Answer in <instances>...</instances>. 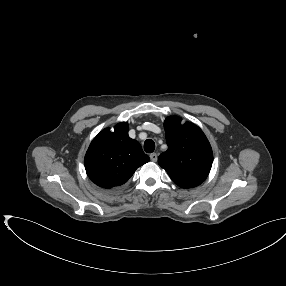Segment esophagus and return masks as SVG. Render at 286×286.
Masks as SVG:
<instances>
[{
  "label": "esophagus",
  "mask_w": 286,
  "mask_h": 286,
  "mask_svg": "<svg viewBox=\"0 0 286 286\" xmlns=\"http://www.w3.org/2000/svg\"><path fill=\"white\" fill-rule=\"evenodd\" d=\"M157 158H158V156H157L156 153L150 154V159H151V161L156 162V161H157Z\"/></svg>",
  "instance_id": "obj_1"
}]
</instances>
